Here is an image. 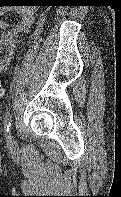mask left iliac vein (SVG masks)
<instances>
[{
	"mask_svg": "<svg viewBox=\"0 0 121 197\" xmlns=\"http://www.w3.org/2000/svg\"><path fill=\"white\" fill-rule=\"evenodd\" d=\"M8 139H9V142H12L13 140H12V136L9 134V137H8Z\"/></svg>",
	"mask_w": 121,
	"mask_h": 197,
	"instance_id": "4c4485c4",
	"label": "left iliac vein"
}]
</instances>
